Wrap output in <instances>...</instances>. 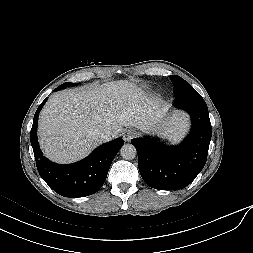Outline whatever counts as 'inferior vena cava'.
<instances>
[{
  "label": "inferior vena cava",
  "mask_w": 253,
  "mask_h": 253,
  "mask_svg": "<svg viewBox=\"0 0 253 253\" xmlns=\"http://www.w3.org/2000/svg\"><path fill=\"white\" fill-rule=\"evenodd\" d=\"M96 135L99 137L101 142H108L112 138H114V133L110 129H106L103 131H97Z\"/></svg>",
  "instance_id": "602c4592"
}]
</instances>
